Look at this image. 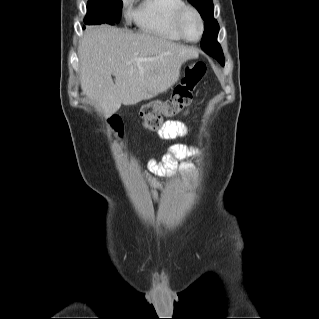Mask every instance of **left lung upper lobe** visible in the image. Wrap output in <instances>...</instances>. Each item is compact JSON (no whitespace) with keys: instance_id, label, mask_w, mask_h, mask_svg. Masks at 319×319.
<instances>
[{"instance_id":"5c2ea615","label":"left lung upper lobe","mask_w":319,"mask_h":319,"mask_svg":"<svg viewBox=\"0 0 319 319\" xmlns=\"http://www.w3.org/2000/svg\"><path fill=\"white\" fill-rule=\"evenodd\" d=\"M200 13L204 20V33L201 41V48L207 47L213 51L219 63L224 66V55L220 44L217 42L219 24L213 17L214 6L212 0H188ZM211 46V47H209ZM213 47V49H212Z\"/></svg>"}]
</instances>
